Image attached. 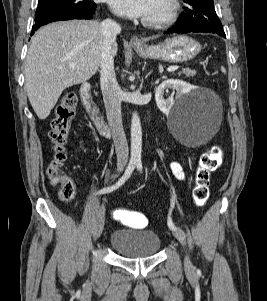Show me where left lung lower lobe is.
<instances>
[{
	"label": "left lung lower lobe",
	"instance_id": "1",
	"mask_svg": "<svg viewBox=\"0 0 267 301\" xmlns=\"http://www.w3.org/2000/svg\"><path fill=\"white\" fill-rule=\"evenodd\" d=\"M189 33V32H212L207 28L204 27H200V26H189V25H176L174 27H171L170 29H168L165 33L169 34V33ZM215 33V32H212ZM217 34V33H216ZM221 37H226L225 33H220L218 34Z\"/></svg>",
	"mask_w": 267,
	"mask_h": 301
}]
</instances>
